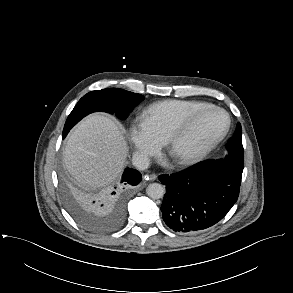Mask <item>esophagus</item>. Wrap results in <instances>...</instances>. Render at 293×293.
Here are the masks:
<instances>
[{
  "label": "esophagus",
  "instance_id": "esophagus-1",
  "mask_svg": "<svg viewBox=\"0 0 293 293\" xmlns=\"http://www.w3.org/2000/svg\"><path fill=\"white\" fill-rule=\"evenodd\" d=\"M144 179L145 180H151V181H154V180H156L157 179V175H155V174H149V175H145L144 176Z\"/></svg>",
  "mask_w": 293,
  "mask_h": 293
}]
</instances>
